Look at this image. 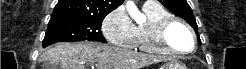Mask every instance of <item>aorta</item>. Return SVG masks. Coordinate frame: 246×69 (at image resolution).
Returning <instances> with one entry per match:
<instances>
[{
	"instance_id": "obj_1",
	"label": "aorta",
	"mask_w": 246,
	"mask_h": 69,
	"mask_svg": "<svg viewBox=\"0 0 246 69\" xmlns=\"http://www.w3.org/2000/svg\"><path fill=\"white\" fill-rule=\"evenodd\" d=\"M126 8L129 15L137 22L140 23L145 20V16L139 12L137 6L132 0H128L126 3Z\"/></svg>"
}]
</instances>
